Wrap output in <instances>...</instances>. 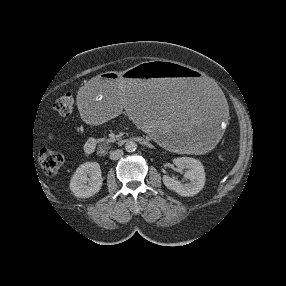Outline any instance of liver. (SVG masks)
I'll list each match as a JSON object with an SVG mask.
<instances>
[{
  "mask_svg": "<svg viewBox=\"0 0 286 286\" xmlns=\"http://www.w3.org/2000/svg\"><path fill=\"white\" fill-rule=\"evenodd\" d=\"M126 88L125 87H121L120 88V91H119V95L122 97V104L124 103L125 101V95H126Z\"/></svg>",
  "mask_w": 286,
  "mask_h": 286,
  "instance_id": "6515ba94",
  "label": "liver"
}]
</instances>
